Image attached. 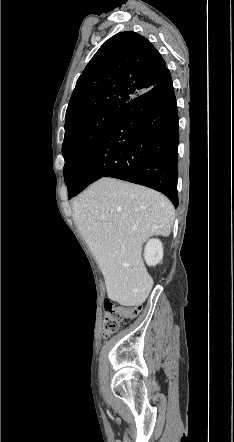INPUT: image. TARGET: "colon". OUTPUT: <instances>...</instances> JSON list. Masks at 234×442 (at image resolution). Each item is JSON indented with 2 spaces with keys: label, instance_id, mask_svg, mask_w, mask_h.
Segmentation results:
<instances>
[{
  "label": "colon",
  "instance_id": "5ec220e1",
  "mask_svg": "<svg viewBox=\"0 0 234 442\" xmlns=\"http://www.w3.org/2000/svg\"><path fill=\"white\" fill-rule=\"evenodd\" d=\"M104 307L106 311L103 328L105 336H110L115 333L124 319L138 316L142 309L140 305L123 307L115 306L108 301L105 303Z\"/></svg>",
  "mask_w": 234,
  "mask_h": 442
}]
</instances>
